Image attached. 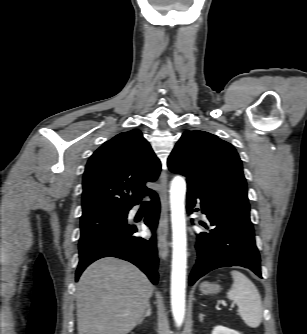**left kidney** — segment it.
<instances>
[{
  "mask_svg": "<svg viewBox=\"0 0 307 334\" xmlns=\"http://www.w3.org/2000/svg\"><path fill=\"white\" fill-rule=\"evenodd\" d=\"M211 334H241L235 330L229 329L223 326H216L214 327Z\"/></svg>",
  "mask_w": 307,
  "mask_h": 334,
  "instance_id": "left-kidney-1",
  "label": "left kidney"
}]
</instances>
